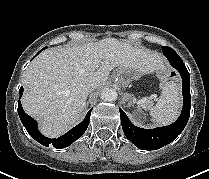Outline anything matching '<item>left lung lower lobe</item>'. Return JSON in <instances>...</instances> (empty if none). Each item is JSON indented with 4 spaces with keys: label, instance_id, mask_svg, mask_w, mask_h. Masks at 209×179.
<instances>
[{
    "label": "left lung lower lobe",
    "instance_id": "left-lung-lower-lobe-1",
    "mask_svg": "<svg viewBox=\"0 0 209 179\" xmlns=\"http://www.w3.org/2000/svg\"><path fill=\"white\" fill-rule=\"evenodd\" d=\"M170 64L180 73L182 77L183 108L177 121L171 125L154 129H143L131 123L124 111L119 108L121 124L125 136L138 148L143 150H156L171 143L185 128L191 109L190 76L179 55L165 54Z\"/></svg>",
    "mask_w": 209,
    "mask_h": 179
}]
</instances>
